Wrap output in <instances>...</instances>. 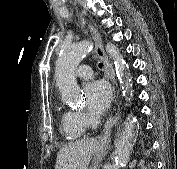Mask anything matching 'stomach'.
<instances>
[{
	"instance_id": "stomach-1",
	"label": "stomach",
	"mask_w": 177,
	"mask_h": 169,
	"mask_svg": "<svg viewBox=\"0 0 177 169\" xmlns=\"http://www.w3.org/2000/svg\"><path fill=\"white\" fill-rule=\"evenodd\" d=\"M106 150H107V145L104 142L100 143V145L94 152V161L89 169H98L99 163L105 156Z\"/></svg>"
}]
</instances>
